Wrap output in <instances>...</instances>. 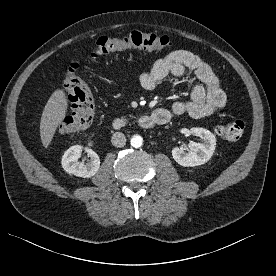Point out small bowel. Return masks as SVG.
Masks as SVG:
<instances>
[{"label": "small bowel", "instance_id": "1", "mask_svg": "<svg viewBox=\"0 0 276 276\" xmlns=\"http://www.w3.org/2000/svg\"><path fill=\"white\" fill-rule=\"evenodd\" d=\"M187 72H192L199 81L193 87L190 97L176 100L170 109L156 110L167 111L170 117L188 114L194 118H203L225 105L226 95L218 77L203 59L188 50H176L158 59L150 71L140 75L139 82L144 89L151 90L162 79L168 76L183 77Z\"/></svg>", "mask_w": 276, "mask_h": 276}]
</instances>
